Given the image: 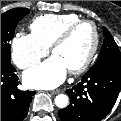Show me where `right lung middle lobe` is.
Listing matches in <instances>:
<instances>
[{"label": "right lung middle lobe", "mask_w": 121, "mask_h": 121, "mask_svg": "<svg viewBox=\"0 0 121 121\" xmlns=\"http://www.w3.org/2000/svg\"><path fill=\"white\" fill-rule=\"evenodd\" d=\"M28 13L26 8H15L1 14V63L11 64L9 42L18 22Z\"/></svg>", "instance_id": "obj_1"}]
</instances>
